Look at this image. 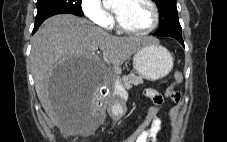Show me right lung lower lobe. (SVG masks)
<instances>
[{
	"instance_id": "obj_1",
	"label": "right lung lower lobe",
	"mask_w": 227,
	"mask_h": 142,
	"mask_svg": "<svg viewBox=\"0 0 227 142\" xmlns=\"http://www.w3.org/2000/svg\"><path fill=\"white\" fill-rule=\"evenodd\" d=\"M47 18H48V17L36 19V21H35V26H34V29H33V32H32V33H34V32L38 29V27L41 25V23H42L45 19H47Z\"/></svg>"
}]
</instances>
